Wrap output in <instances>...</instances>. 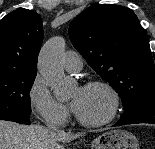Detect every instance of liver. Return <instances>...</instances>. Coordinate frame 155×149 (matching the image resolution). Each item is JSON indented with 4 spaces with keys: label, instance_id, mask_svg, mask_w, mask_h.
Here are the masks:
<instances>
[{
    "label": "liver",
    "instance_id": "6515ba94",
    "mask_svg": "<svg viewBox=\"0 0 155 149\" xmlns=\"http://www.w3.org/2000/svg\"><path fill=\"white\" fill-rule=\"evenodd\" d=\"M82 135L61 130L52 132L40 125L0 121V149H64L60 143H68Z\"/></svg>",
    "mask_w": 155,
    "mask_h": 149
}]
</instances>
